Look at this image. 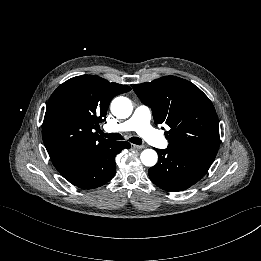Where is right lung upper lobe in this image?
Returning <instances> with one entry per match:
<instances>
[{
    "label": "right lung upper lobe",
    "instance_id": "1",
    "mask_svg": "<svg viewBox=\"0 0 261 261\" xmlns=\"http://www.w3.org/2000/svg\"><path fill=\"white\" fill-rule=\"evenodd\" d=\"M95 75H82L61 84L50 97L42 125L47 152L58 171L81 156L111 147L116 141L98 135L110 101L130 91Z\"/></svg>",
    "mask_w": 261,
    "mask_h": 261
}]
</instances>
